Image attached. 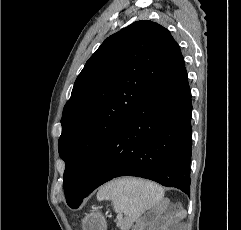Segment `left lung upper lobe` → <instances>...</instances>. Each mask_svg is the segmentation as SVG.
<instances>
[{
	"instance_id": "obj_1",
	"label": "left lung upper lobe",
	"mask_w": 241,
	"mask_h": 230,
	"mask_svg": "<svg viewBox=\"0 0 241 230\" xmlns=\"http://www.w3.org/2000/svg\"><path fill=\"white\" fill-rule=\"evenodd\" d=\"M170 31L148 20L111 35L78 75L61 119L69 206L85 193L101 151L114 133L183 61Z\"/></svg>"
}]
</instances>
